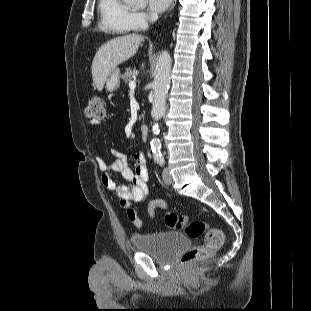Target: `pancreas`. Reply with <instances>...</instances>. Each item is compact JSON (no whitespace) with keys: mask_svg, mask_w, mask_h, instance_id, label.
<instances>
[{"mask_svg":"<svg viewBox=\"0 0 311 311\" xmlns=\"http://www.w3.org/2000/svg\"><path fill=\"white\" fill-rule=\"evenodd\" d=\"M133 78V72L131 69H126L124 74L121 75V79H123L125 82L131 81ZM141 118V117H140Z\"/></svg>","mask_w":311,"mask_h":311,"instance_id":"1","label":"pancreas"}]
</instances>
